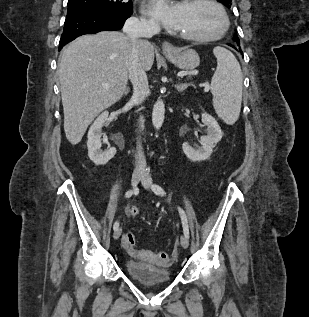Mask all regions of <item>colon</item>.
<instances>
[{
    "label": "colon",
    "mask_w": 309,
    "mask_h": 317,
    "mask_svg": "<svg viewBox=\"0 0 309 317\" xmlns=\"http://www.w3.org/2000/svg\"><path fill=\"white\" fill-rule=\"evenodd\" d=\"M131 214L133 216H136L138 214V209L137 208H132L131 210ZM123 244L128 247V248H131V247H134L135 245V237L132 233H126L123 237ZM167 256L168 254L162 252L159 254V260L162 264H169L170 262L167 261Z\"/></svg>",
    "instance_id": "obj_1"
}]
</instances>
